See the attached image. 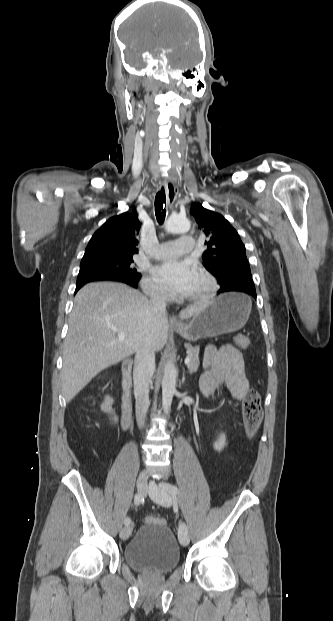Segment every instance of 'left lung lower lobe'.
I'll return each instance as SVG.
<instances>
[{
	"mask_svg": "<svg viewBox=\"0 0 333 621\" xmlns=\"http://www.w3.org/2000/svg\"><path fill=\"white\" fill-rule=\"evenodd\" d=\"M227 292H242V293H246L250 295L254 299H256L257 297L255 286L248 285V284H235L232 286H227L219 290L218 294L227 293Z\"/></svg>",
	"mask_w": 333,
	"mask_h": 621,
	"instance_id": "1",
	"label": "left lung lower lobe"
}]
</instances>
